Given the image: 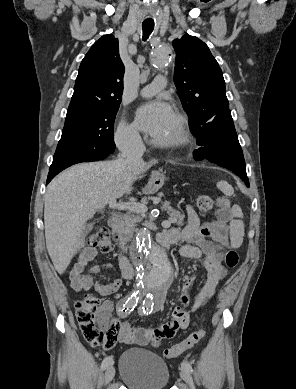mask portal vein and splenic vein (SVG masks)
<instances>
[{
	"instance_id": "portal-vein-and-splenic-vein-1",
	"label": "portal vein and splenic vein",
	"mask_w": 296,
	"mask_h": 389,
	"mask_svg": "<svg viewBox=\"0 0 296 389\" xmlns=\"http://www.w3.org/2000/svg\"><path fill=\"white\" fill-rule=\"evenodd\" d=\"M110 209L117 210H130L138 213L147 212V207L144 204L136 203V202H116L115 199L109 201ZM162 226L165 228H169L171 226V222L169 220L163 221Z\"/></svg>"
}]
</instances>
